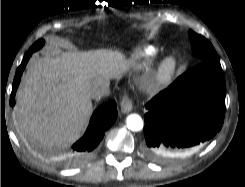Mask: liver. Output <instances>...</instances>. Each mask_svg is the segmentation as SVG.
<instances>
[{
  "label": "liver",
  "instance_id": "liver-1",
  "mask_svg": "<svg viewBox=\"0 0 245 187\" xmlns=\"http://www.w3.org/2000/svg\"><path fill=\"white\" fill-rule=\"evenodd\" d=\"M129 66L122 52L111 49L58 51L33 59L17 91V127L47 145L76 139L92 113L91 89Z\"/></svg>",
  "mask_w": 245,
  "mask_h": 187
}]
</instances>
